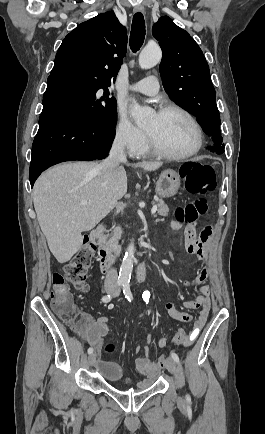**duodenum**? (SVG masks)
I'll return each instance as SVG.
<instances>
[{
  "mask_svg": "<svg viewBox=\"0 0 265 434\" xmlns=\"http://www.w3.org/2000/svg\"><path fill=\"white\" fill-rule=\"evenodd\" d=\"M106 227L100 225L94 228L90 233V240L94 244L103 245V237ZM98 264L103 274H109L117 265L116 259L110 253L109 247L105 246L99 250ZM150 276V267L147 261H142L136 266V282H143Z\"/></svg>",
  "mask_w": 265,
  "mask_h": 434,
  "instance_id": "410a0bca",
  "label": "duodenum"
}]
</instances>
